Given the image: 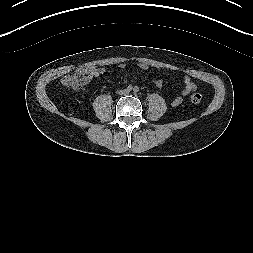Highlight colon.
I'll return each instance as SVG.
<instances>
[{
	"label": "colon",
	"instance_id": "colon-1",
	"mask_svg": "<svg viewBox=\"0 0 253 253\" xmlns=\"http://www.w3.org/2000/svg\"><path fill=\"white\" fill-rule=\"evenodd\" d=\"M93 67H82L73 76V86L76 89H80L87 82L91 76ZM190 99L193 103L197 104L202 100V95L198 91H193L190 95Z\"/></svg>",
	"mask_w": 253,
	"mask_h": 253
}]
</instances>
